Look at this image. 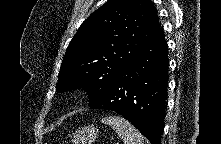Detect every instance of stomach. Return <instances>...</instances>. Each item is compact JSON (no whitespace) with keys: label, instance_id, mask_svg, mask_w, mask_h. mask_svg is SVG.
Listing matches in <instances>:
<instances>
[{"label":"stomach","instance_id":"1","mask_svg":"<svg viewBox=\"0 0 221 144\" xmlns=\"http://www.w3.org/2000/svg\"><path fill=\"white\" fill-rule=\"evenodd\" d=\"M99 130L93 125L76 130L72 136L74 144H92L98 137Z\"/></svg>","mask_w":221,"mask_h":144}]
</instances>
